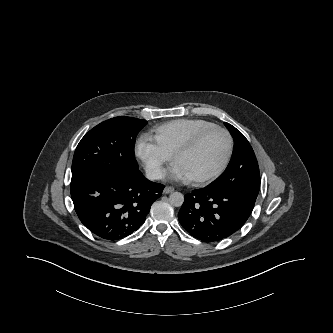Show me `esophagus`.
Listing matches in <instances>:
<instances>
[{"mask_svg": "<svg viewBox=\"0 0 333 333\" xmlns=\"http://www.w3.org/2000/svg\"><path fill=\"white\" fill-rule=\"evenodd\" d=\"M173 191H174V188L171 187V186H166V187L164 188V190H163V192H164L165 194L172 193Z\"/></svg>", "mask_w": 333, "mask_h": 333, "instance_id": "34e87169", "label": "esophagus"}]
</instances>
